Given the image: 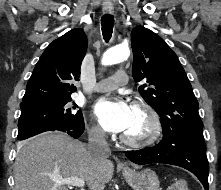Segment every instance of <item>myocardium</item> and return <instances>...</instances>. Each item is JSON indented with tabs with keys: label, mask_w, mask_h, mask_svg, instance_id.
I'll list each match as a JSON object with an SVG mask.
<instances>
[{
	"label": "myocardium",
	"mask_w": 221,
	"mask_h": 190,
	"mask_svg": "<svg viewBox=\"0 0 221 190\" xmlns=\"http://www.w3.org/2000/svg\"><path fill=\"white\" fill-rule=\"evenodd\" d=\"M133 108L144 112L147 116V133L138 139L122 134L120 137L122 143L132 148H146L155 144L162 133V122L158 112L150 103L142 99L134 101Z\"/></svg>",
	"instance_id": "1"
}]
</instances>
